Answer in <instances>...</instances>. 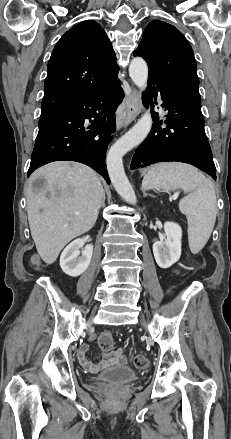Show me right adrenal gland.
Segmentation results:
<instances>
[{"instance_id":"obj_1","label":"right adrenal gland","mask_w":231,"mask_h":439,"mask_svg":"<svg viewBox=\"0 0 231 439\" xmlns=\"http://www.w3.org/2000/svg\"><path fill=\"white\" fill-rule=\"evenodd\" d=\"M100 207H105V193L103 194V199H102Z\"/></svg>"}]
</instances>
